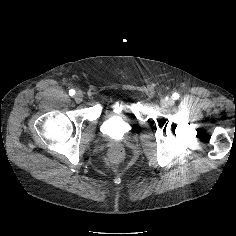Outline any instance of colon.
<instances>
[{
  "instance_id": "colon-1",
  "label": "colon",
  "mask_w": 236,
  "mask_h": 236,
  "mask_svg": "<svg viewBox=\"0 0 236 236\" xmlns=\"http://www.w3.org/2000/svg\"><path fill=\"white\" fill-rule=\"evenodd\" d=\"M110 160L115 164H121L124 161V150L120 146H114L110 150Z\"/></svg>"
}]
</instances>
